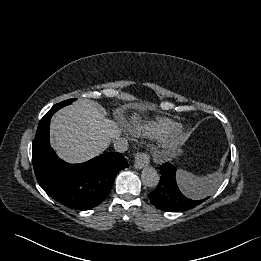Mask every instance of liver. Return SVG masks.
I'll list each match as a JSON object with an SVG mask.
<instances>
[{
  "instance_id": "obj_1",
  "label": "liver",
  "mask_w": 261,
  "mask_h": 261,
  "mask_svg": "<svg viewBox=\"0 0 261 261\" xmlns=\"http://www.w3.org/2000/svg\"><path fill=\"white\" fill-rule=\"evenodd\" d=\"M139 120L134 113L131 121ZM117 123L105 117L93 100L80 99L59 110L51 121L52 147L69 163H81L101 154L112 139L119 137Z\"/></svg>"
}]
</instances>
